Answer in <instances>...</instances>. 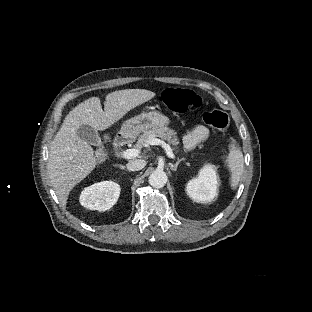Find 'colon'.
Segmentation results:
<instances>
[{"label": "colon", "mask_w": 312, "mask_h": 312, "mask_svg": "<svg viewBox=\"0 0 312 312\" xmlns=\"http://www.w3.org/2000/svg\"><path fill=\"white\" fill-rule=\"evenodd\" d=\"M158 102H163V105L175 113L193 112L201 107V99L196 96L192 90L188 89H167L159 94ZM203 121L211 126L219 129H225L229 122L228 115L221 110L207 111L203 115ZM111 140L109 131L102 132L95 151V159L98 163L103 164L108 159L107 146Z\"/></svg>", "instance_id": "colon-1"}]
</instances>
